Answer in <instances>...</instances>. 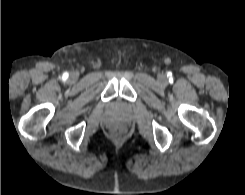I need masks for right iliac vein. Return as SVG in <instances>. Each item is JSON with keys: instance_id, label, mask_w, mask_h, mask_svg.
Returning <instances> with one entry per match:
<instances>
[{"instance_id": "1", "label": "right iliac vein", "mask_w": 245, "mask_h": 195, "mask_svg": "<svg viewBox=\"0 0 245 195\" xmlns=\"http://www.w3.org/2000/svg\"><path fill=\"white\" fill-rule=\"evenodd\" d=\"M76 78H77V75H76V74H72V75H71V79H72V80H75Z\"/></svg>"}]
</instances>
